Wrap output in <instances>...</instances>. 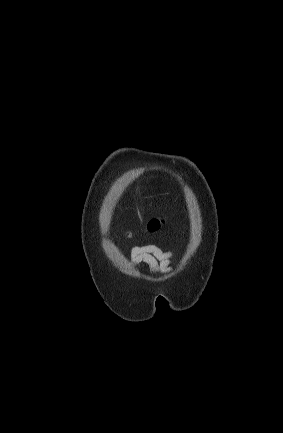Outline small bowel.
Segmentation results:
<instances>
[{"label":"small bowel","instance_id":"1","mask_svg":"<svg viewBox=\"0 0 283 433\" xmlns=\"http://www.w3.org/2000/svg\"><path fill=\"white\" fill-rule=\"evenodd\" d=\"M174 256V250L166 251L152 244L135 246L130 251L132 265L144 263L149 267L152 275H157L159 272H172V260Z\"/></svg>","mask_w":283,"mask_h":433}]
</instances>
